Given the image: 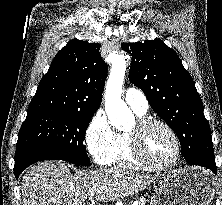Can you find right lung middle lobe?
Returning <instances> with one entry per match:
<instances>
[{
    "label": "right lung middle lobe",
    "mask_w": 222,
    "mask_h": 205,
    "mask_svg": "<svg viewBox=\"0 0 222 205\" xmlns=\"http://www.w3.org/2000/svg\"><path fill=\"white\" fill-rule=\"evenodd\" d=\"M94 112L50 111L27 115L16 144V153L45 150L69 163L87 166L90 159L84 139Z\"/></svg>",
    "instance_id": "dd1d6c3e"
}]
</instances>
